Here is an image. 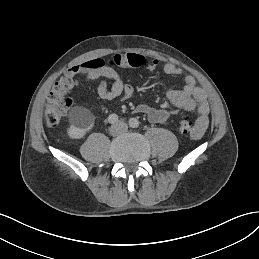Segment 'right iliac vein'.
<instances>
[{
  "label": "right iliac vein",
  "mask_w": 259,
  "mask_h": 259,
  "mask_svg": "<svg viewBox=\"0 0 259 259\" xmlns=\"http://www.w3.org/2000/svg\"><path fill=\"white\" fill-rule=\"evenodd\" d=\"M120 132H121V130H120V127H119L118 125H113V126L110 127V129H109V133H110V135H112V136H117V135L120 134Z\"/></svg>",
  "instance_id": "obj_1"
}]
</instances>
